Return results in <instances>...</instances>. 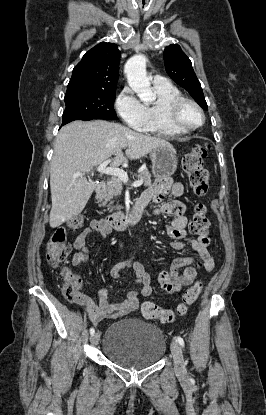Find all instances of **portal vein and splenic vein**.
<instances>
[{
	"label": "portal vein and splenic vein",
	"instance_id": "portal-vein-and-splenic-vein-1",
	"mask_svg": "<svg viewBox=\"0 0 266 415\" xmlns=\"http://www.w3.org/2000/svg\"><path fill=\"white\" fill-rule=\"evenodd\" d=\"M110 159L100 163L98 165V167L96 168V170L100 173L106 174V175H112V176H116L118 177L123 183L127 184L129 181L128 175L127 173L118 167L112 166V167H107L108 164L110 163ZM82 174L81 173H75L74 177H81ZM143 184V180H138L135 181L131 184V186L133 187H139Z\"/></svg>",
	"mask_w": 266,
	"mask_h": 415
}]
</instances>
